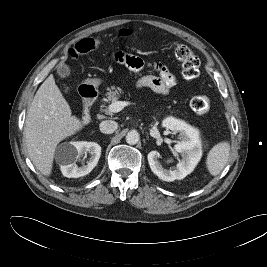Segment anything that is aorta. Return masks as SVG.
Returning a JSON list of instances; mask_svg holds the SVG:
<instances>
[{"instance_id":"762f6f07","label":"aorta","mask_w":267,"mask_h":267,"mask_svg":"<svg viewBox=\"0 0 267 267\" xmlns=\"http://www.w3.org/2000/svg\"><path fill=\"white\" fill-rule=\"evenodd\" d=\"M140 135L136 130H131L126 135V142L129 145H135L139 142Z\"/></svg>"}]
</instances>
